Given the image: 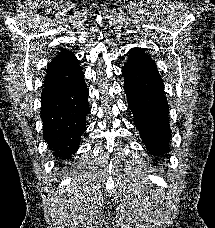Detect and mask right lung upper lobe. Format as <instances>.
I'll use <instances>...</instances> for the list:
<instances>
[{
	"mask_svg": "<svg viewBox=\"0 0 215 228\" xmlns=\"http://www.w3.org/2000/svg\"><path fill=\"white\" fill-rule=\"evenodd\" d=\"M47 69L41 101L57 94L64 87V84H60L62 81L74 80L83 75L76 56L67 50L53 58Z\"/></svg>",
	"mask_w": 215,
	"mask_h": 228,
	"instance_id": "cb5924a9",
	"label": "right lung upper lobe"
}]
</instances>
